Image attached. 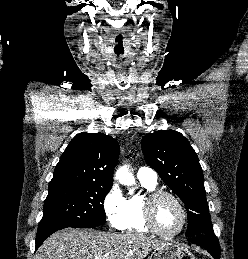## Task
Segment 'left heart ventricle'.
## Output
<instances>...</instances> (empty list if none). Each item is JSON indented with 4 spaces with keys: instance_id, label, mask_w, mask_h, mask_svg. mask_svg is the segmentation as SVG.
I'll list each match as a JSON object with an SVG mask.
<instances>
[{
    "instance_id": "left-heart-ventricle-1",
    "label": "left heart ventricle",
    "mask_w": 248,
    "mask_h": 259,
    "mask_svg": "<svg viewBox=\"0 0 248 259\" xmlns=\"http://www.w3.org/2000/svg\"><path fill=\"white\" fill-rule=\"evenodd\" d=\"M155 219L162 231L172 233L180 227L182 213L171 198L162 197L155 206Z\"/></svg>"
}]
</instances>
